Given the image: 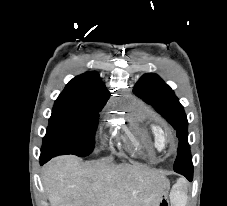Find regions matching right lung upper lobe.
Instances as JSON below:
<instances>
[{"mask_svg": "<svg viewBox=\"0 0 227 206\" xmlns=\"http://www.w3.org/2000/svg\"><path fill=\"white\" fill-rule=\"evenodd\" d=\"M60 96L78 98L109 97V91L102 84L96 72H86L72 79Z\"/></svg>", "mask_w": 227, "mask_h": 206, "instance_id": "obj_1", "label": "right lung upper lobe"}]
</instances>
